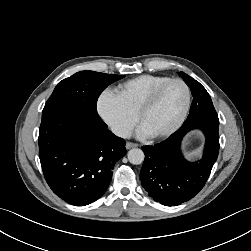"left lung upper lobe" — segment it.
I'll return each instance as SVG.
<instances>
[{"mask_svg":"<svg viewBox=\"0 0 251 251\" xmlns=\"http://www.w3.org/2000/svg\"><path fill=\"white\" fill-rule=\"evenodd\" d=\"M179 75L190 87L193 95L190 113L184 124L199 119L219 120L210 95L206 89L198 81L194 80L186 73L180 72Z\"/></svg>","mask_w":251,"mask_h":251,"instance_id":"1","label":"left lung upper lobe"}]
</instances>
